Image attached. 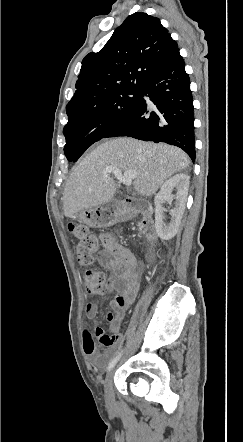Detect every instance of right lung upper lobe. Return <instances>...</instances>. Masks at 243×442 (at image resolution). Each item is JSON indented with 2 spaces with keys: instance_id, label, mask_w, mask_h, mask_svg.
Listing matches in <instances>:
<instances>
[{
  "instance_id": "cb5924a9",
  "label": "right lung upper lobe",
  "mask_w": 243,
  "mask_h": 442,
  "mask_svg": "<svg viewBox=\"0 0 243 442\" xmlns=\"http://www.w3.org/2000/svg\"><path fill=\"white\" fill-rule=\"evenodd\" d=\"M178 51L158 18L140 12L128 16L99 52L84 57L76 92L66 106L68 117L119 93L140 91Z\"/></svg>"
}]
</instances>
